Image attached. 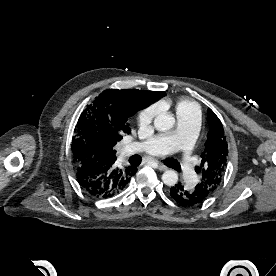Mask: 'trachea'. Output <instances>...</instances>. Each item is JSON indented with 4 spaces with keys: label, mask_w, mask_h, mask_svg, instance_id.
<instances>
[{
    "label": "trachea",
    "mask_w": 276,
    "mask_h": 276,
    "mask_svg": "<svg viewBox=\"0 0 276 276\" xmlns=\"http://www.w3.org/2000/svg\"><path fill=\"white\" fill-rule=\"evenodd\" d=\"M129 163L133 166H138L141 163V156H139V155L131 156L129 158ZM164 164L167 165L168 167L175 169V170L181 169L180 163L174 158L166 159Z\"/></svg>",
    "instance_id": "3493384b"
}]
</instances>
